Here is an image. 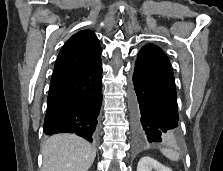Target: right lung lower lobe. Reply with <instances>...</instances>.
I'll return each instance as SVG.
<instances>
[{
  "label": "right lung lower lobe",
  "mask_w": 223,
  "mask_h": 171,
  "mask_svg": "<svg viewBox=\"0 0 223 171\" xmlns=\"http://www.w3.org/2000/svg\"><path fill=\"white\" fill-rule=\"evenodd\" d=\"M101 104L100 60L86 70L51 81L43 132L75 133L93 142Z\"/></svg>",
  "instance_id": "right-lung-lower-lobe-1"
}]
</instances>
